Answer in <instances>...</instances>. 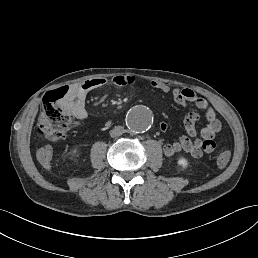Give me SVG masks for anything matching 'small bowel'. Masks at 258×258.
Segmentation results:
<instances>
[{"label": "small bowel", "mask_w": 258, "mask_h": 258, "mask_svg": "<svg viewBox=\"0 0 258 258\" xmlns=\"http://www.w3.org/2000/svg\"><path fill=\"white\" fill-rule=\"evenodd\" d=\"M139 82V79L132 75H117L112 79L113 85L118 87L133 86L139 84ZM107 83L108 81L105 78H95L70 86V93L63 101L62 107L68 114L79 120H84L87 117L85 109L87 95L106 86ZM151 85L162 92L170 91L169 86L163 82L152 81ZM172 94L175 102L181 106L194 104L198 109L205 110L207 124L201 130V138H196V125L200 120V116L196 112L188 113L184 118V127L187 134L181 135L172 143H166L163 146L165 156L172 157L177 153L184 152L193 158H200L205 153L213 152L216 147V135L221 130V123L217 119L214 110L209 107L207 100L199 97L193 90L188 88L174 89ZM161 129L166 130L167 124L162 123ZM36 157L43 168L49 170L52 167L53 152L49 145L40 147L37 150Z\"/></svg>", "instance_id": "1"}]
</instances>
